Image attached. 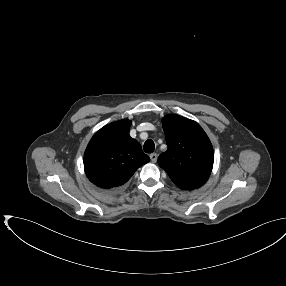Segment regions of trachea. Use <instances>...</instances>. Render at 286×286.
Wrapping results in <instances>:
<instances>
[{
    "instance_id": "trachea-1",
    "label": "trachea",
    "mask_w": 286,
    "mask_h": 286,
    "mask_svg": "<svg viewBox=\"0 0 286 286\" xmlns=\"http://www.w3.org/2000/svg\"><path fill=\"white\" fill-rule=\"evenodd\" d=\"M154 149H155V144L152 140L149 139L144 143L145 153H152Z\"/></svg>"
}]
</instances>
